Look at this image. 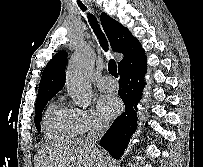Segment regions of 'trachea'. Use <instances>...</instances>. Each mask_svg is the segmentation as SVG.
<instances>
[{
    "label": "trachea",
    "instance_id": "obj_1",
    "mask_svg": "<svg viewBox=\"0 0 203 167\" xmlns=\"http://www.w3.org/2000/svg\"><path fill=\"white\" fill-rule=\"evenodd\" d=\"M78 5L82 9L83 12H85L87 10L85 5H83L82 3L79 2ZM88 21H89L95 35L97 36L101 47L103 48L104 51L107 52L108 51V42L98 24L97 19L94 17V15L88 13ZM108 71L114 77H116V78L118 77L117 65L113 59H110L108 62Z\"/></svg>",
    "mask_w": 203,
    "mask_h": 167
}]
</instances>
